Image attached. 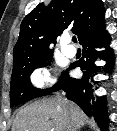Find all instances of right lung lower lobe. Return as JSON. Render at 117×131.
Masks as SVG:
<instances>
[{
  "label": "right lung lower lobe",
  "instance_id": "98d812e1",
  "mask_svg": "<svg viewBox=\"0 0 117 131\" xmlns=\"http://www.w3.org/2000/svg\"><path fill=\"white\" fill-rule=\"evenodd\" d=\"M110 36L105 27L97 34L86 38L80 44L83 47V57L72 63L69 69L80 67L83 76L80 79L71 78L67 72L63 73L62 85L60 89L66 91L67 98L74 101L89 116L94 117L98 124L104 129L108 128V116L105 109V101L102 98H95L93 90L96 81L93 76L100 71V68L94 64L101 52L97 47H107L103 52V59L107 61L106 70H110L114 63L112 49L109 46Z\"/></svg>",
  "mask_w": 117,
  "mask_h": 131
}]
</instances>
